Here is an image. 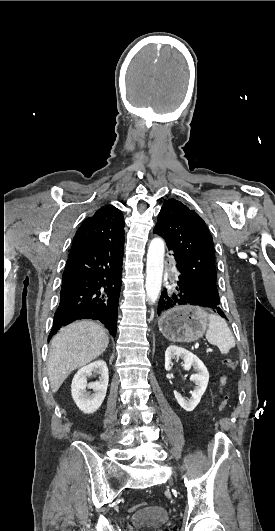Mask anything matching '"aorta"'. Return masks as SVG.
Listing matches in <instances>:
<instances>
[{"mask_svg": "<svg viewBox=\"0 0 275 531\" xmlns=\"http://www.w3.org/2000/svg\"><path fill=\"white\" fill-rule=\"evenodd\" d=\"M165 245L163 239H152L147 255L146 295L150 303L157 301L162 285Z\"/></svg>", "mask_w": 275, "mask_h": 531, "instance_id": "1", "label": "aorta"}]
</instances>
